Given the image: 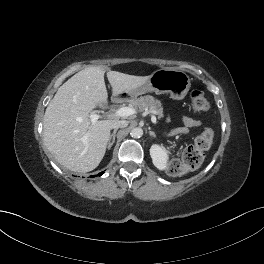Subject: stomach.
<instances>
[{"mask_svg": "<svg viewBox=\"0 0 264 264\" xmlns=\"http://www.w3.org/2000/svg\"><path fill=\"white\" fill-rule=\"evenodd\" d=\"M189 89L190 78L185 72L177 69H159L150 75L144 85L131 91L130 94L136 97L146 92L169 93L172 99L181 100Z\"/></svg>", "mask_w": 264, "mask_h": 264, "instance_id": "stomach-1", "label": "stomach"}]
</instances>
